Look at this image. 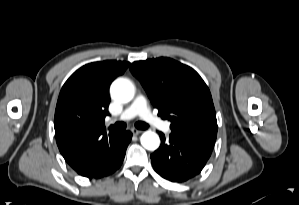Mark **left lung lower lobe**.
Here are the masks:
<instances>
[{"label":"left lung lower lobe","instance_id":"obj_1","mask_svg":"<svg viewBox=\"0 0 299 205\" xmlns=\"http://www.w3.org/2000/svg\"><path fill=\"white\" fill-rule=\"evenodd\" d=\"M161 145L151 155L154 170L172 182H184L201 172L209 159L217 133L172 130L169 141L160 133Z\"/></svg>","mask_w":299,"mask_h":205}]
</instances>
